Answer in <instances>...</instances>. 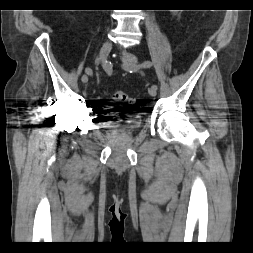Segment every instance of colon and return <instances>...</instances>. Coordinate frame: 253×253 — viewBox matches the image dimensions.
<instances>
[{"label":"colon","instance_id":"obj_1","mask_svg":"<svg viewBox=\"0 0 253 253\" xmlns=\"http://www.w3.org/2000/svg\"><path fill=\"white\" fill-rule=\"evenodd\" d=\"M111 98L117 102L122 103H131L132 99L129 97L128 94L122 91H115L110 94Z\"/></svg>","mask_w":253,"mask_h":253}]
</instances>
